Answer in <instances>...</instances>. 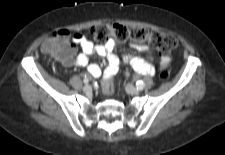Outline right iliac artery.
Returning <instances> with one entry per match:
<instances>
[{
  "mask_svg": "<svg viewBox=\"0 0 225 155\" xmlns=\"http://www.w3.org/2000/svg\"><path fill=\"white\" fill-rule=\"evenodd\" d=\"M83 82H84L85 84H88L89 79L85 77V79L83 80Z\"/></svg>",
  "mask_w": 225,
  "mask_h": 155,
  "instance_id": "1",
  "label": "right iliac artery"
}]
</instances>
